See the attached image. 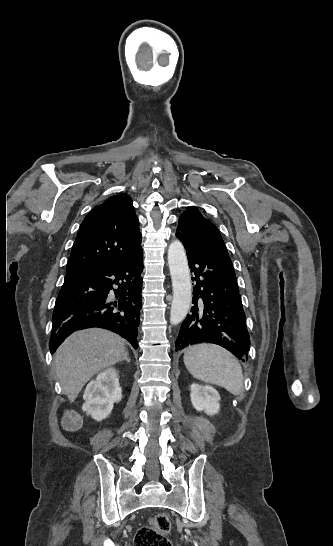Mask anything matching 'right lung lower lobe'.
I'll return each instance as SVG.
<instances>
[{
  "mask_svg": "<svg viewBox=\"0 0 333 546\" xmlns=\"http://www.w3.org/2000/svg\"><path fill=\"white\" fill-rule=\"evenodd\" d=\"M143 271L142 248L130 259L67 273L53 312L51 354L76 330H111L137 349Z\"/></svg>",
  "mask_w": 333,
  "mask_h": 546,
  "instance_id": "right-lung-lower-lobe-1",
  "label": "right lung lower lobe"
}]
</instances>
